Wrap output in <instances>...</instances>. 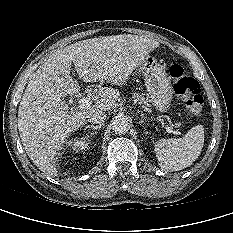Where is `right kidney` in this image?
Instances as JSON below:
<instances>
[{"label": "right kidney", "mask_w": 233, "mask_h": 233, "mask_svg": "<svg viewBox=\"0 0 233 233\" xmlns=\"http://www.w3.org/2000/svg\"><path fill=\"white\" fill-rule=\"evenodd\" d=\"M88 140L85 138H74L69 141V147L74 151H83L88 148Z\"/></svg>", "instance_id": "1"}]
</instances>
